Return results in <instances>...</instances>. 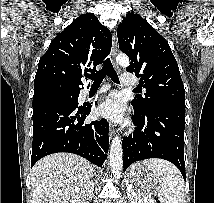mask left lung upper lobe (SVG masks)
Wrapping results in <instances>:
<instances>
[{
	"label": "left lung upper lobe",
	"instance_id": "5c2ea615",
	"mask_svg": "<svg viewBox=\"0 0 214 203\" xmlns=\"http://www.w3.org/2000/svg\"><path fill=\"white\" fill-rule=\"evenodd\" d=\"M119 48L131 59L128 72L140 77L146 93L131 102L144 114L154 107L185 108L184 85L168 42L139 14L128 13L117 29Z\"/></svg>",
	"mask_w": 214,
	"mask_h": 203
}]
</instances>
